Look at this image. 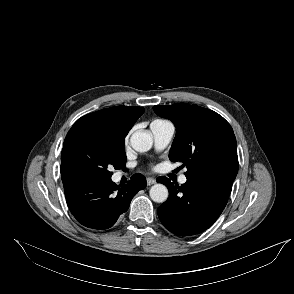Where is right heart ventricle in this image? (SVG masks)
<instances>
[{"label": "right heart ventricle", "mask_w": 294, "mask_h": 294, "mask_svg": "<svg viewBox=\"0 0 294 294\" xmlns=\"http://www.w3.org/2000/svg\"><path fill=\"white\" fill-rule=\"evenodd\" d=\"M162 122H166L165 120H155L152 123H162Z\"/></svg>", "instance_id": "e07e8e85"}]
</instances>
